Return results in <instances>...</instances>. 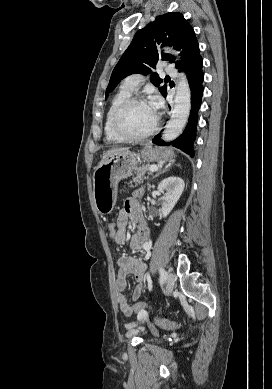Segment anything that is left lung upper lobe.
<instances>
[{
  "label": "left lung upper lobe",
  "instance_id": "left-lung-upper-lobe-1",
  "mask_svg": "<svg viewBox=\"0 0 272 389\" xmlns=\"http://www.w3.org/2000/svg\"><path fill=\"white\" fill-rule=\"evenodd\" d=\"M161 43L181 51L182 61L176 62L179 70L186 65L193 51L199 46L192 26L181 13L157 16L154 22L147 24L135 34L112 72L106 95L128 75L134 73L147 75L152 72L150 68H155L159 60L174 62L175 58L170 54L157 52L156 45ZM150 79L156 87L163 81L157 73H152ZM159 90L166 95V86L160 87Z\"/></svg>",
  "mask_w": 272,
  "mask_h": 389
}]
</instances>
